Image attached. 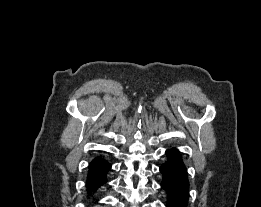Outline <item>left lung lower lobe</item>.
<instances>
[{"label":"left lung lower lobe","instance_id":"1","mask_svg":"<svg viewBox=\"0 0 261 207\" xmlns=\"http://www.w3.org/2000/svg\"><path fill=\"white\" fill-rule=\"evenodd\" d=\"M167 160L160 166L161 187L167 195L166 207H187L189 181L187 169L180 151H166Z\"/></svg>","mask_w":261,"mask_h":207}]
</instances>
